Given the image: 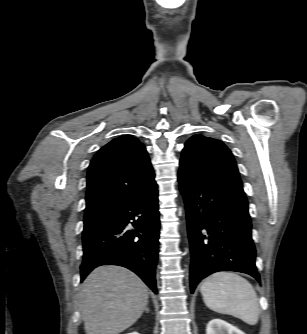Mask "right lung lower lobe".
Returning <instances> with one entry per match:
<instances>
[{"label": "right lung lower lobe", "mask_w": 307, "mask_h": 334, "mask_svg": "<svg viewBox=\"0 0 307 334\" xmlns=\"http://www.w3.org/2000/svg\"><path fill=\"white\" fill-rule=\"evenodd\" d=\"M130 220H134L133 230L126 228ZM159 228L158 190L154 182L83 233L81 282L97 266L120 265L139 275L157 293Z\"/></svg>", "instance_id": "98d812e1"}]
</instances>
